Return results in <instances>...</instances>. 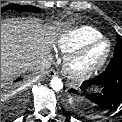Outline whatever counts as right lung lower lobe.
Returning a JSON list of instances; mask_svg holds the SVG:
<instances>
[{"mask_svg":"<svg viewBox=\"0 0 122 122\" xmlns=\"http://www.w3.org/2000/svg\"><path fill=\"white\" fill-rule=\"evenodd\" d=\"M22 97H20L21 99L23 98V95H21ZM21 103H22V100H20V101H18L17 103H16V107H19V105H21ZM16 110V109H15ZM15 114V113H14ZM11 115H13V113H11Z\"/></svg>","mask_w":122,"mask_h":122,"instance_id":"98d812e1","label":"right lung lower lobe"}]
</instances>
